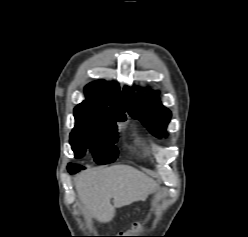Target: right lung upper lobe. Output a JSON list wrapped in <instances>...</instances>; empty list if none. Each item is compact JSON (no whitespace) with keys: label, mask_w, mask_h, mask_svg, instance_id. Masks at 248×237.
Masks as SVG:
<instances>
[{"label":"right lung upper lobe","mask_w":248,"mask_h":237,"mask_svg":"<svg viewBox=\"0 0 248 237\" xmlns=\"http://www.w3.org/2000/svg\"><path fill=\"white\" fill-rule=\"evenodd\" d=\"M86 100L74 111L104 118L125 116V104L115 82L99 80L85 87Z\"/></svg>","instance_id":"1"}]
</instances>
